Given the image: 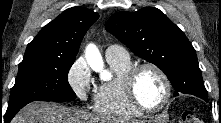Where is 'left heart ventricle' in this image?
<instances>
[{
	"mask_svg": "<svg viewBox=\"0 0 221 123\" xmlns=\"http://www.w3.org/2000/svg\"><path fill=\"white\" fill-rule=\"evenodd\" d=\"M135 93L141 104L153 108L162 102L165 96V87L155 71L144 69L136 77Z\"/></svg>",
	"mask_w": 221,
	"mask_h": 123,
	"instance_id": "1",
	"label": "left heart ventricle"
}]
</instances>
